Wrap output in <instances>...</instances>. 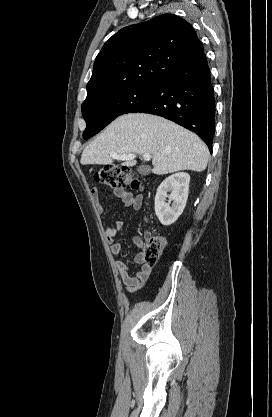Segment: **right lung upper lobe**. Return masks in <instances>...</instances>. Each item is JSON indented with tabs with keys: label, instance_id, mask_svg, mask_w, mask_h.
Listing matches in <instances>:
<instances>
[{
	"label": "right lung upper lobe",
	"instance_id": "cb5924a9",
	"mask_svg": "<svg viewBox=\"0 0 272 417\" xmlns=\"http://www.w3.org/2000/svg\"><path fill=\"white\" fill-rule=\"evenodd\" d=\"M203 52L194 28L173 14L125 27L97 55L84 103L122 89L160 84Z\"/></svg>",
	"mask_w": 272,
	"mask_h": 417
}]
</instances>
